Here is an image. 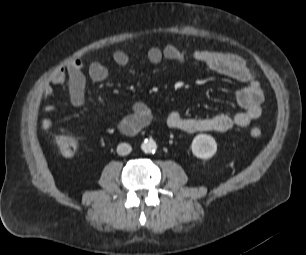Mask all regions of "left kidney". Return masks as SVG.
<instances>
[{"mask_svg": "<svg viewBox=\"0 0 306 255\" xmlns=\"http://www.w3.org/2000/svg\"><path fill=\"white\" fill-rule=\"evenodd\" d=\"M192 153L200 159H209L217 151L215 139L207 134H199L194 137L191 144Z\"/></svg>", "mask_w": 306, "mask_h": 255, "instance_id": "obj_1", "label": "left kidney"}]
</instances>
